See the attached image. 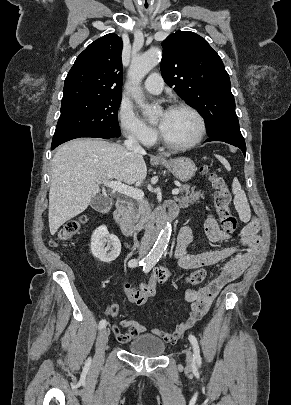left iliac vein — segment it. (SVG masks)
Masks as SVG:
<instances>
[{
	"label": "left iliac vein",
	"mask_w": 291,
	"mask_h": 405,
	"mask_svg": "<svg viewBox=\"0 0 291 405\" xmlns=\"http://www.w3.org/2000/svg\"><path fill=\"white\" fill-rule=\"evenodd\" d=\"M185 353H186V360H187V368L190 369L191 364H192V352H191L190 348L186 349Z\"/></svg>",
	"instance_id": "left-iliac-vein-1"
}]
</instances>
